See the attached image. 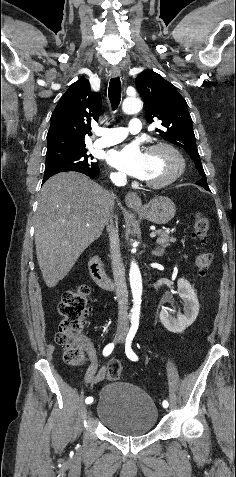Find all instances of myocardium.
I'll list each match as a JSON object with an SVG mask.
<instances>
[{"label":"myocardium","instance_id":"myocardium-1","mask_svg":"<svg viewBox=\"0 0 236 477\" xmlns=\"http://www.w3.org/2000/svg\"><path fill=\"white\" fill-rule=\"evenodd\" d=\"M155 150H165L167 151L177 162V168L173 174H171L166 179L160 181H149L145 180L144 183L151 188H163L166 186L171 185L175 181H177L185 172L186 170V161L181 152L169 143H155L149 146L147 153L155 151Z\"/></svg>","mask_w":236,"mask_h":477}]
</instances>
